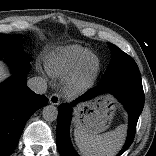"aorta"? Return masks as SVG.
Wrapping results in <instances>:
<instances>
[{"instance_id":"aorta-1","label":"aorta","mask_w":156,"mask_h":156,"mask_svg":"<svg viewBox=\"0 0 156 156\" xmlns=\"http://www.w3.org/2000/svg\"><path fill=\"white\" fill-rule=\"evenodd\" d=\"M42 117L45 121L53 122L58 117V109L54 105H47L43 108Z\"/></svg>"}]
</instances>
